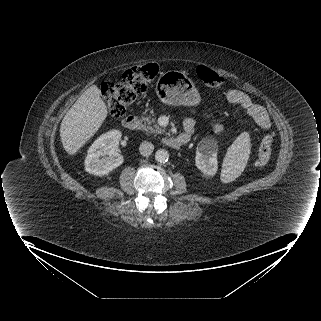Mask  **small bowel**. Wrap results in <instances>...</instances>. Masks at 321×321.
<instances>
[{
	"mask_svg": "<svg viewBox=\"0 0 321 321\" xmlns=\"http://www.w3.org/2000/svg\"><path fill=\"white\" fill-rule=\"evenodd\" d=\"M226 99L229 103L240 107L260 128L267 129L270 127L271 120L266 109L256 104L246 92L238 89H229L226 92ZM184 130L183 136L187 141L197 132L196 120L193 118L186 119L184 122ZM212 130L215 133L220 132L221 125L219 123H214Z\"/></svg>",
	"mask_w": 321,
	"mask_h": 321,
	"instance_id": "1",
	"label": "small bowel"
}]
</instances>
